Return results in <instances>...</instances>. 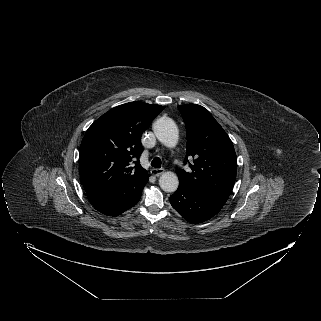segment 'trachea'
Wrapping results in <instances>:
<instances>
[{"label": "trachea", "instance_id": "trachea-1", "mask_svg": "<svg viewBox=\"0 0 321 321\" xmlns=\"http://www.w3.org/2000/svg\"><path fill=\"white\" fill-rule=\"evenodd\" d=\"M151 166L154 168H160L161 167V159L159 157H155L151 162Z\"/></svg>", "mask_w": 321, "mask_h": 321}]
</instances>
